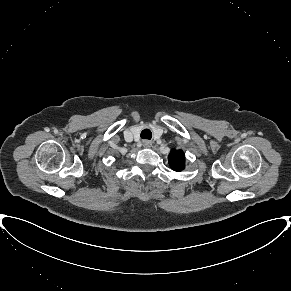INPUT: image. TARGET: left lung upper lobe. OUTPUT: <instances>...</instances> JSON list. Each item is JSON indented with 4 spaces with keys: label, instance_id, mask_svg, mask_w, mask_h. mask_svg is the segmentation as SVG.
Returning <instances> with one entry per match:
<instances>
[{
    "label": "left lung upper lobe",
    "instance_id": "obj_1",
    "mask_svg": "<svg viewBox=\"0 0 291 291\" xmlns=\"http://www.w3.org/2000/svg\"><path fill=\"white\" fill-rule=\"evenodd\" d=\"M169 165L174 171H181L185 168V154L182 150L173 149L169 154Z\"/></svg>",
    "mask_w": 291,
    "mask_h": 291
}]
</instances>
